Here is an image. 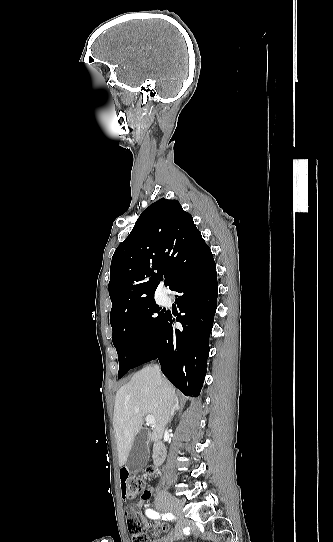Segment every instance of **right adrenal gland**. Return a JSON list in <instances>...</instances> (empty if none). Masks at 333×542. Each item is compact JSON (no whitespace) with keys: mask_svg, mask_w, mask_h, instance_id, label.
<instances>
[{"mask_svg":"<svg viewBox=\"0 0 333 542\" xmlns=\"http://www.w3.org/2000/svg\"><path fill=\"white\" fill-rule=\"evenodd\" d=\"M176 410H180L178 400H177V402H176V404H175V410H171V412H170L169 422H171V420H172V418H173V416H174V412H176Z\"/></svg>","mask_w":333,"mask_h":542,"instance_id":"1","label":"right adrenal gland"}]
</instances>
